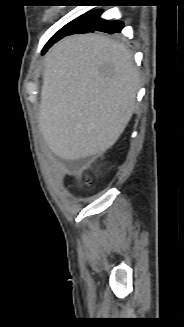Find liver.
Here are the masks:
<instances>
[{
	"label": "liver",
	"instance_id": "obj_1",
	"mask_svg": "<svg viewBox=\"0 0 184 327\" xmlns=\"http://www.w3.org/2000/svg\"><path fill=\"white\" fill-rule=\"evenodd\" d=\"M139 83L131 52L116 40L86 34L54 45L38 113L49 149L68 161L104 153L130 121Z\"/></svg>",
	"mask_w": 184,
	"mask_h": 327
}]
</instances>
